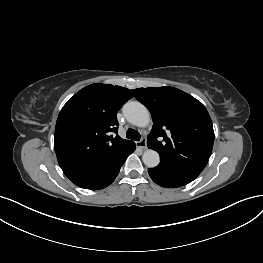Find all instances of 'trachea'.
Instances as JSON below:
<instances>
[{"label":"trachea","instance_id":"obj_1","mask_svg":"<svg viewBox=\"0 0 263 263\" xmlns=\"http://www.w3.org/2000/svg\"><path fill=\"white\" fill-rule=\"evenodd\" d=\"M126 136L128 139H132L135 141H139L141 138L140 133L137 130L129 128L126 132Z\"/></svg>","mask_w":263,"mask_h":263}]
</instances>
